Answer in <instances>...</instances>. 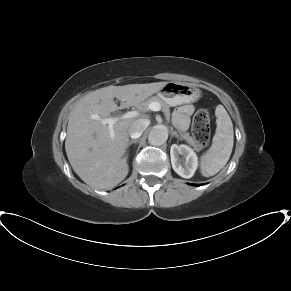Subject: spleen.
I'll use <instances>...</instances> for the list:
<instances>
[{
	"instance_id": "obj_1",
	"label": "spleen",
	"mask_w": 291,
	"mask_h": 291,
	"mask_svg": "<svg viewBox=\"0 0 291 291\" xmlns=\"http://www.w3.org/2000/svg\"><path fill=\"white\" fill-rule=\"evenodd\" d=\"M216 133L212 146L201 157L200 169L205 177L217 174L228 162L234 144V131L231 118L222 105L215 110Z\"/></svg>"
}]
</instances>
